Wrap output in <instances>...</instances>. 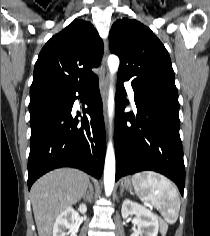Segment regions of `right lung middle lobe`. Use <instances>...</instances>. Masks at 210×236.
I'll return each instance as SVG.
<instances>
[{
    "label": "right lung middle lobe",
    "mask_w": 210,
    "mask_h": 236,
    "mask_svg": "<svg viewBox=\"0 0 210 236\" xmlns=\"http://www.w3.org/2000/svg\"><path fill=\"white\" fill-rule=\"evenodd\" d=\"M65 95L66 92L57 91L50 88L38 90L30 97L29 110L52 101L61 100L65 97Z\"/></svg>",
    "instance_id": "obj_1"
}]
</instances>
